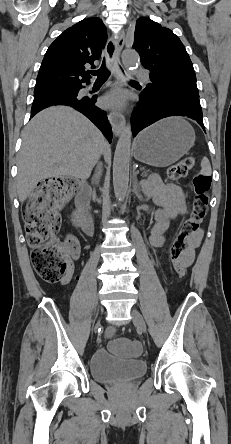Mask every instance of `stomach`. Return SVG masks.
I'll return each instance as SVG.
<instances>
[{
  "label": "stomach",
  "mask_w": 231,
  "mask_h": 444,
  "mask_svg": "<svg viewBox=\"0 0 231 444\" xmlns=\"http://www.w3.org/2000/svg\"><path fill=\"white\" fill-rule=\"evenodd\" d=\"M194 142L192 126L181 117H169L138 135L134 141V157L151 166L167 167L184 156Z\"/></svg>",
  "instance_id": "stomach-1"
}]
</instances>
